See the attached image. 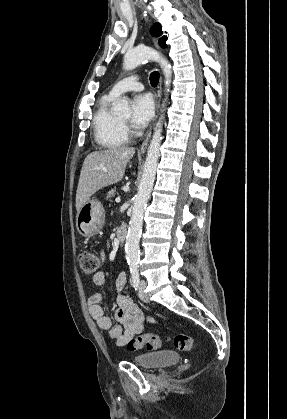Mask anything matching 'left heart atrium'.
I'll list each match as a JSON object with an SVG mask.
<instances>
[{
  "label": "left heart atrium",
  "mask_w": 287,
  "mask_h": 419,
  "mask_svg": "<svg viewBox=\"0 0 287 419\" xmlns=\"http://www.w3.org/2000/svg\"><path fill=\"white\" fill-rule=\"evenodd\" d=\"M154 114V100L150 94L136 95L132 101L131 123L135 128H144Z\"/></svg>",
  "instance_id": "obj_1"
}]
</instances>
